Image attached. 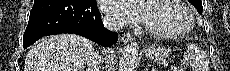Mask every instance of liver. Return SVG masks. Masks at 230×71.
I'll use <instances>...</instances> for the list:
<instances>
[{
    "instance_id": "liver-1",
    "label": "liver",
    "mask_w": 230,
    "mask_h": 71,
    "mask_svg": "<svg viewBox=\"0 0 230 71\" xmlns=\"http://www.w3.org/2000/svg\"><path fill=\"white\" fill-rule=\"evenodd\" d=\"M93 43L75 34L42 39L26 56L24 71H84Z\"/></svg>"
}]
</instances>
